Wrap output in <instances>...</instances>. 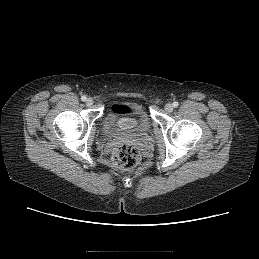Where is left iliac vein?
I'll return each mask as SVG.
<instances>
[{"instance_id":"1","label":"left iliac vein","mask_w":259,"mask_h":259,"mask_svg":"<svg viewBox=\"0 0 259 259\" xmlns=\"http://www.w3.org/2000/svg\"><path fill=\"white\" fill-rule=\"evenodd\" d=\"M164 109H165V111H167V112H172L173 109H174V107H173V105H172L171 103H167V104L165 105Z\"/></svg>"}]
</instances>
